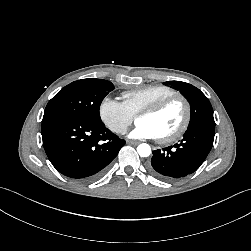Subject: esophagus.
Returning <instances> with one entry per match:
<instances>
[{
  "mask_svg": "<svg viewBox=\"0 0 251 251\" xmlns=\"http://www.w3.org/2000/svg\"><path fill=\"white\" fill-rule=\"evenodd\" d=\"M126 143L129 144V145H138L139 141L127 140Z\"/></svg>",
  "mask_w": 251,
  "mask_h": 251,
  "instance_id": "esophagus-1",
  "label": "esophagus"
}]
</instances>
